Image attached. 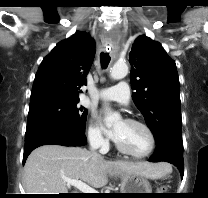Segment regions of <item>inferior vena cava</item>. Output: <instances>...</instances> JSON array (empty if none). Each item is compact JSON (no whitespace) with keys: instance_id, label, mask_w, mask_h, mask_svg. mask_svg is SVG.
I'll return each instance as SVG.
<instances>
[{"instance_id":"602c4592","label":"inferior vena cava","mask_w":208,"mask_h":198,"mask_svg":"<svg viewBox=\"0 0 208 198\" xmlns=\"http://www.w3.org/2000/svg\"><path fill=\"white\" fill-rule=\"evenodd\" d=\"M97 147H98V143H97L96 141H94V142L91 143L90 149H91V151H92L94 154H96V153H95V150L97 149Z\"/></svg>"}]
</instances>
